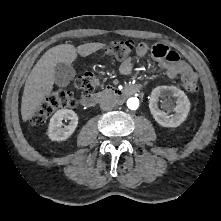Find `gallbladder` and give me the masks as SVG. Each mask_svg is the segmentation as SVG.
<instances>
[{
  "mask_svg": "<svg viewBox=\"0 0 221 221\" xmlns=\"http://www.w3.org/2000/svg\"><path fill=\"white\" fill-rule=\"evenodd\" d=\"M75 74V69L71 64L59 62L55 66V84L65 87L74 79Z\"/></svg>",
  "mask_w": 221,
  "mask_h": 221,
  "instance_id": "gallbladder-1",
  "label": "gallbladder"
}]
</instances>
